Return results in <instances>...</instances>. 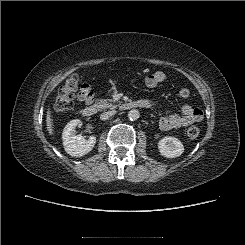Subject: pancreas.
Here are the masks:
<instances>
[{
	"instance_id": "pancreas-1",
	"label": "pancreas",
	"mask_w": 245,
	"mask_h": 245,
	"mask_svg": "<svg viewBox=\"0 0 245 245\" xmlns=\"http://www.w3.org/2000/svg\"><path fill=\"white\" fill-rule=\"evenodd\" d=\"M95 106L99 109V110H105V109H116L118 105H114L113 104V100L111 99H100L96 101Z\"/></svg>"
}]
</instances>
